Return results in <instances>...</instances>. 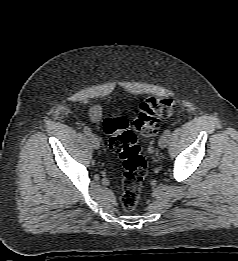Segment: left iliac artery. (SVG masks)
<instances>
[{"instance_id": "left-iliac-artery-1", "label": "left iliac artery", "mask_w": 238, "mask_h": 261, "mask_svg": "<svg viewBox=\"0 0 238 261\" xmlns=\"http://www.w3.org/2000/svg\"><path fill=\"white\" fill-rule=\"evenodd\" d=\"M170 133H171L170 130H165V131H164V134H166L167 136H169Z\"/></svg>"}]
</instances>
